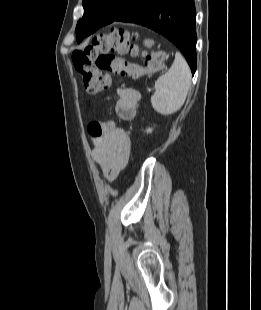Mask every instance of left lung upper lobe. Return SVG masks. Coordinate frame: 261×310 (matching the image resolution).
I'll use <instances>...</instances> for the list:
<instances>
[{
	"label": "left lung upper lobe",
	"mask_w": 261,
	"mask_h": 310,
	"mask_svg": "<svg viewBox=\"0 0 261 310\" xmlns=\"http://www.w3.org/2000/svg\"><path fill=\"white\" fill-rule=\"evenodd\" d=\"M128 0H83L84 15L76 26V36L87 22H111L125 8Z\"/></svg>",
	"instance_id": "left-lung-upper-lobe-1"
}]
</instances>
